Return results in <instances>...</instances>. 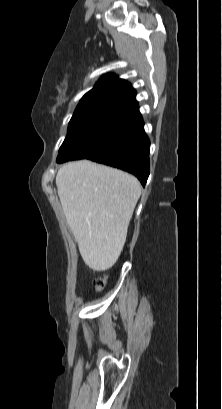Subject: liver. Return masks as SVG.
I'll list each match as a JSON object with an SVG mask.
<instances>
[{"label": "liver", "mask_w": 222, "mask_h": 409, "mask_svg": "<svg viewBox=\"0 0 222 409\" xmlns=\"http://www.w3.org/2000/svg\"><path fill=\"white\" fill-rule=\"evenodd\" d=\"M56 186L67 223L87 266L105 271L118 260L141 195L134 176L89 160L64 164Z\"/></svg>", "instance_id": "liver-1"}]
</instances>
